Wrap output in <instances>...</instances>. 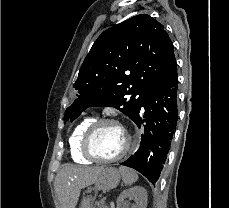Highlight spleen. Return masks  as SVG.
<instances>
[{
  "mask_svg": "<svg viewBox=\"0 0 229 208\" xmlns=\"http://www.w3.org/2000/svg\"><path fill=\"white\" fill-rule=\"evenodd\" d=\"M119 172L124 184H127V186H131V184H134V182H137L138 180L136 172H134V170H130V168L121 166V168H119Z\"/></svg>",
  "mask_w": 229,
  "mask_h": 208,
  "instance_id": "1",
  "label": "spleen"
}]
</instances>
